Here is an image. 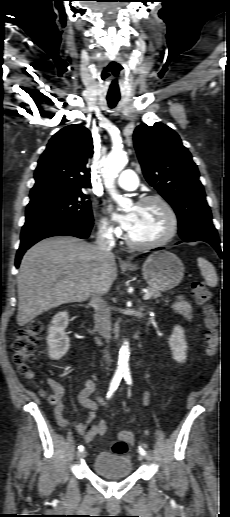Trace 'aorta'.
Wrapping results in <instances>:
<instances>
[{
  "instance_id": "762f6f07",
  "label": "aorta",
  "mask_w": 230,
  "mask_h": 517,
  "mask_svg": "<svg viewBox=\"0 0 230 517\" xmlns=\"http://www.w3.org/2000/svg\"><path fill=\"white\" fill-rule=\"evenodd\" d=\"M127 162L128 157L124 151L112 150L108 154L104 163V168L102 170L104 184L106 188L109 190L111 196L117 201L119 206H123L127 202V199L117 194L114 183L119 172L126 166ZM129 356L130 352L128 343L124 342V344L121 346L119 350L118 370H128Z\"/></svg>"
}]
</instances>
